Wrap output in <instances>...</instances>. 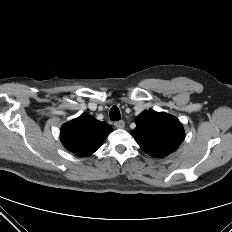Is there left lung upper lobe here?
<instances>
[{
  "instance_id": "obj_1",
  "label": "left lung upper lobe",
  "mask_w": 232,
  "mask_h": 232,
  "mask_svg": "<svg viewBox=\"0 0 232 232\" xmlns=\"http://www.w3.org/2000/svg\"><path fill=\"white\" fill-rule=\"evenodd\" d=\"M131 135L146 153L158 158L175 151L185 136L176 117L156 111L142 112Z\"/></svg>"
}]
</instances>
